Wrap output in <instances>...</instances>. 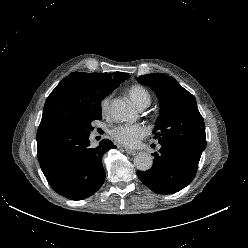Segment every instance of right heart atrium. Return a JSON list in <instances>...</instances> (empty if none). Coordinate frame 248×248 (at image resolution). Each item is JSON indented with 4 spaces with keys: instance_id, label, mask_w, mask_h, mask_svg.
<instances>
[{
    "instance_id": "d8ad5b80",
    "label": "right heart atrium",
    "mask_w": 248,
    "mask_h": 248,
    "mask_svg": "<svg viewBox=\"0 0 248 248\" xmlns=\"http://www.w3.org/2000/svg\"><path fill=\"white\" fill-rule=\"evenodd\" d=\"M110 96L105 97L101 102V111L103 114H107L110 107Z\"/></svg>"
}]
</instances>
